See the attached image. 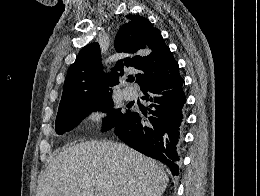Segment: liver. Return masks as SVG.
I'll return each instance as SVG.
<instances>
[{"instance_id":"obj_1","label":"liver","mask_w":260,"mask_h":196,"mask_svg":"<svg viewBox=\"0 0 260 196\" xmlns=\"http://www.w3.org/2000/svg\"><path fill=\"white\" fill-rule=\"evenodd\" d=\"M160 164L119 142L64 146L43 172L36 196H162Z\"/></svg>"}]
</instances>
